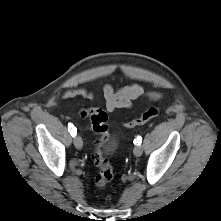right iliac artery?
Here are the masks:
<instances>
[{
  "mask_svg": "<svg viewBox=\"0 0 221 221\" xmlns=\"http://www.w3.org/2000/svg\"><path fill=\"white\" fill-rule=\"evenodd\" d=\"M68 130L70 131L72 137L76 136L77 129L71 123L68 124Z\"/></svg>",
  "mask_w": 221,
  "mask_h": 221,
  "instance_id": "1",
  "label": "right iliac artery"
}]
</instances>
